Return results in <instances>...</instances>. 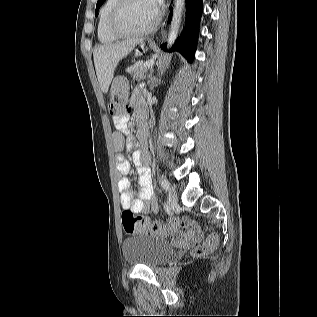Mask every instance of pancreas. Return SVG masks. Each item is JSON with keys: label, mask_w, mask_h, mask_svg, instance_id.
Wrapping results in <instances>:
<instances>
[{"label": "pancreas", "mask_w": 317, "mask_h": 317, "mask_svg": "<svg viewBox=\"0 0 317 317\" xmlns=\"http://www.w3.org/2000/svg\"><path fill=\"white\" fill-rule=\"evenodd\" d=\"M144 64L140 61H135L134 67L128 69V72L133 76V80L140 81L145 78L149 68L145 67Z\"/></svg>", "instance_id": "cf45deb5"}]
</instances>
